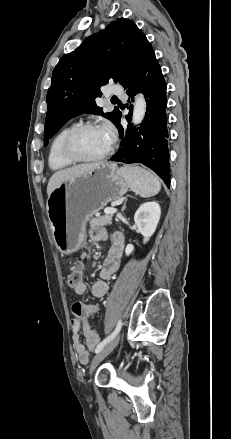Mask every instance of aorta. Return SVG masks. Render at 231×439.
Listing matches in <instances>:
<instances>
[{
  "label": "aorta",
  "mask_w": 231,
  "mask_h": 439,
  "mask_svg": "<svg viewBox=\"0 0 231 439\" xmlns=\"http://www.w3.org/2000/svg\"><path fill=\"white\" fill-rule=\"evenodd\" d=\"M146 113V101L142 94H138L135 99L132 122L137 125L140 124Z\"/></svg>",
  "instance_id": "762f6f07"
}]
</instances>
